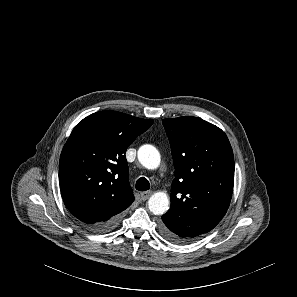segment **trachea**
I'll return each mask as SVG.
<instances>
[{
    "label": "trachea",
    "mask_w": 297,
    "mask_h": 297,
    "mask_svg": "<svg viewBox=\"0 0 297 297\" xmlns=\"http://www.w3.org/2000/svg\"><path fill=\"white\" fill-rule=\"evenodd\" d=\"M150 188V183L145 177H141L136 182V189L139 191H147Z\"/></svg>",
    "instance_id": "3493384b"
}]
</instances>
